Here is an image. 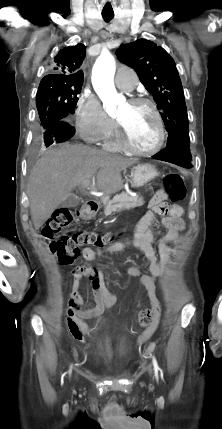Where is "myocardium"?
Returning a JSON list of instances; mask_svg holds the SVG:
<instances>
[{
  "mask_svg": "<svg viewBox=\"0 0 222 429\" xmlns=\"http://www.w3.org/2000/svg\"><path fill=\"white\" fill-rule=\"evenodd\" d=\"M130 104L133 105H145L147 106L156 122H157V126H158V141L157 144L149 149V150H141L137 147H135L129 140L127 132L124 128V126L117 120V126H118V138L119 141L121 143V145L130 153L138 155V156H152L157 154L162 147L164 146L165 140H166V128H165V123L164 120L159 112V110L157 109V106L155 105V103L153 101H151L148 98H144V97H133L129 100Z\"/></svg>",
  "mask_w": 222,
  "mask_h": 429,
  "instance_id": "f54148a6",
  "label": "myocardium"
}]
</instances>
